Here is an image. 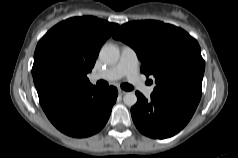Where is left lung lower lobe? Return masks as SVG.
Returning <instances> with one entry per match:
<instances>
[{
  "mask_svg": "<svg viewBox=\"0 0 238 158\" xmlns=\"http://www.w3.org/2000/svg\"><path fill=\"white\" fill-rule=\"evenodd\" d=\"M201 94L200 85L153 92L149 100L140 92H136L138 101L131 108L133 122L142 134L151 138L171 137L189 122Z\"/></svg>",
  "mask_w": 238,
  "mask_h": 158,
  "instance_id": "1",
  "label": "left lung lower lobe"
}]
</instances>
